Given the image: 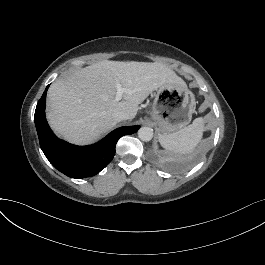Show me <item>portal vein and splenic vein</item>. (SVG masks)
I'll return each mask as SVG.
<instances>
[{
  "label": "portal vein and splenic vein",
  "instance_id": "18ae733b",
  "mask_svg": "<svg viewBox=\"0 0 265 265\" xmlns=\"http://www.w3.org/2000/svg\"><path fill=\"white\" fill-rule=\"evenodd\" d=\"M116 87V95H115V101H120L122 99V96L124 93L127 94H133L135 93V90H130L127 88H123L122 85L118 82L115 85Z\"/></svg>",
  "mask_w": 265,
  "mask_h": 265
}]
</instances>
